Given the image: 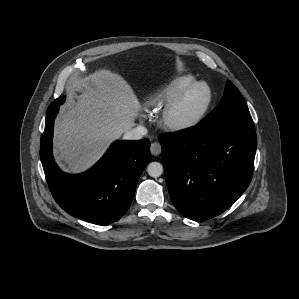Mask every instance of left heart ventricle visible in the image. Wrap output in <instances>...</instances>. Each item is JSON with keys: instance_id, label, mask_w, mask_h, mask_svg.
I'll list each match as a JSON object with an SVG mask.
<instances>
[{"instance_id": "b2bd125f", "label": "left heart ventricle", "mask_w": 299, "mask_h": 299, "mask_svg": "<svg viewBox=\"0 0 299 299\" xmlns=\"http://www.w3.org/2000/svg\"><path fill=\"white\" fill-rule=\"evenodd\" d=\"M206 98L205 88L200 87L192 90L174 111L173 117L177 120H186L193 117L200 111Z\"/></svg>"}]
</instances>
